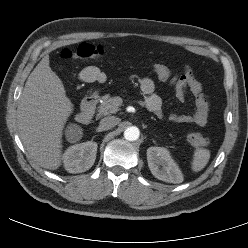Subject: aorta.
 <instances>
[{"label": "aorta", "instance_id": "1", "mask_svg": "<svg viewBox=\"0 0 248 248\" xmlns=\"http://www.w3.org/2000/svg\"><path fill=\"white\" fill-rule=\"evenodd\" d=\"M140 136V131L137 127L131 126L124 131V138L128 141H136Z\"/></svg>", "mask_w": 248, "mask_h": 248}]
</instances>
